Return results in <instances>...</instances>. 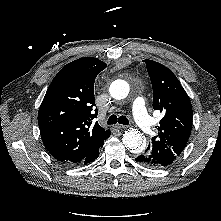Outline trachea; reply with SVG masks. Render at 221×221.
Returning a JSON list of instances; mask_svg holds the SVG:
<instances>
[{"label":"trachea","instance_id":"1","mask_svg":"<svg viewBox=\"0 0 221 221\" xmlns=\"http://www.w3.org/2000/svg\"><path fill=\"white\" fill-rule=\"evenodd\" d=\"M122 124V125H128L129 124V120L125 117V116H119L117 117L116 115H111L107 121L108 125H113L116 123Z\"/></svg>","mask_w":221,"mask_h":221}]
</instances>
